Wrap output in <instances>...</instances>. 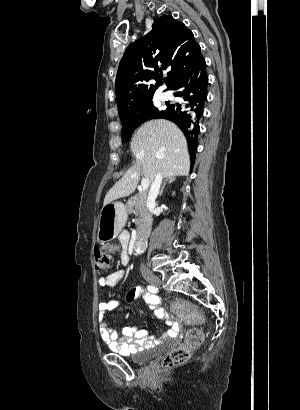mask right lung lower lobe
Instances as JSON below:
<instances>
[{"label":"right lung lower lobe","mask_w":300,"mask_h":410,"mask_svg":"<svg viewBox=\"0 0 300 410\" xmlns=\"http://www.w3.org/2000/svg\"><path fill=\"white\" fill-rule=\"evenodd\" d=\"M207 86L206 63L201 57L176 80L171 89L175 91V96L182 98L185 102L167 105L164 111H160L153 117L168 119L183 131L188 142L192 164L195 161V155L191 158V152L196 154L199 122L203 116L207 99Z\"/></svg>","instance_id":"right-lung-lower-lobe-1"}]
</instances>
